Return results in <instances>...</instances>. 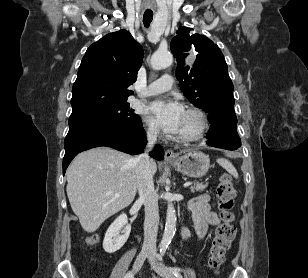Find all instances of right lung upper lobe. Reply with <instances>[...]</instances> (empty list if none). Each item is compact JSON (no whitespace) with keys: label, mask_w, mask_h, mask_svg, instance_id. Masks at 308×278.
<instances>
[{"label":"right lung upper lobe","mask_w":308,"mask_h":278,"mask_svg":"<svg viewBox=\"0 0 308 278\" xmlns=\"http://www.w3.org/2000/svg\"><path fill=\"white\" fill-rule=\"evenodd\" d=\"M143 49L126 30L107 34L86 51L72 88L71 116L127 102Z\"/></svg>","instance_id":"right-lung-upper-lobe-1"}]
</instances>
